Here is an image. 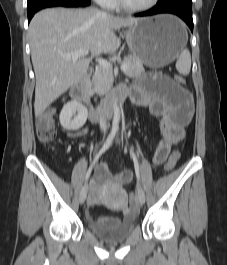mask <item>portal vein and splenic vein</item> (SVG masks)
Here are the masks:
<instances>
[{
  "instance_id": "1",
  "label": "portal vein and splenic vein",
  "mask_w": 227,
  "mask_h": 265,
  "mask_svg": "<svg viewBox=\"0 0 227 265\" xmlns=\"http://www.w3.org/2000/svg\"><path fill=\"white\" fill-rule=\"evenodd\" d=\"M88 54H89L88 50L80 49V50H77V51H74V52H71V53H68V54H63L62 56H63L64 59H67V60H77L78 58L85 57ZM96 61L103 68H110L111 67L110 62H108V61H106L104 59L97 58ZM127 69H128V67H127L126 64H122L121 65V71L125 72Z\"/></svg>"
}]
</instances>
